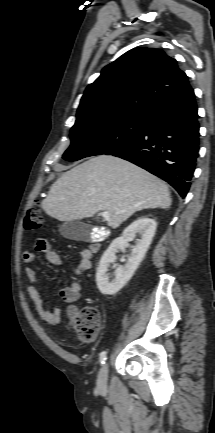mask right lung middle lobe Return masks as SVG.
<instances>
[{
    "label": "right lung middle lobe",
    "mask_w": 215,
    "mask_h": 433,
    "mask_svg": "<svg viewBox=\"0 0 215 433\" xmlns=\"http://www.w3.org/2000/svg\"><path fill=\"white\" fill-rule=\"evenodd\" d=\"M143 125V115H124L76 123L70 133L71 145L63 154L67 161L106 154L130 143Z\"/></svg>",
    "instance_id": "right-lung-middle-lobe-1"
}]
</instances>
